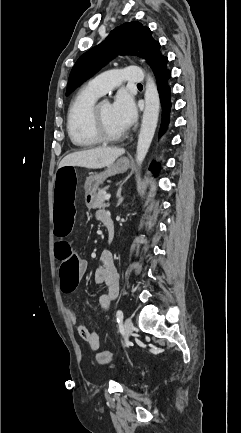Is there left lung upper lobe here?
I'll use <instances>...</instances> for the list:
<instances>
[{
	"instance_id": "obj_1",
	"label": "left lung upper lobe",
	"mask_w": 241,
	"mask_h": 433,
	"mask_svg": "<svg viewBox=\"0 0 241 433\" xmlns=\"http://www.w3.org/2000/svg\"><path fill=\"white\" fill-rule=\"evenodd\" d=\"M160 47L159 42L152 38L148 27L138 21L124 23L112 30L101 44L79 57L71 71L66 94H70L118 54L142 57L154 75L162 73L167 70L168 58L161 54Z\"/></svg>"
}]
</instances>
